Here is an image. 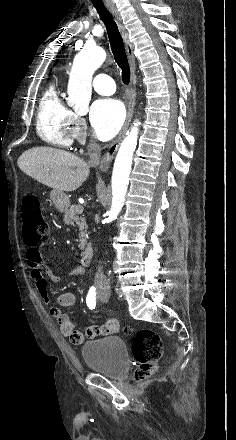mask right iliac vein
<instances>
[{"instance_id": "63e3f726", "label": "right iliac vein", "mask_w": 236, "mask_h": 440, "mask_svg": "<svg viewBox=\"0 0 236 440\" xmlns=\"http://www.w3.org/2000/svg\"><path fill=\"white\" fill-rule=\"evenodd\" d=\"M108 294L107 293H102L101 296L102 297H106Z\"/></svg>"}]
</instances>
